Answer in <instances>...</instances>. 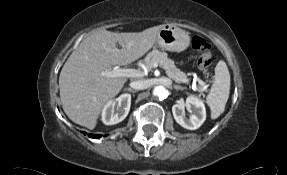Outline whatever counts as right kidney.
<instances>
[{"label":"right kidney","mask_w":287,"mask_h":175,"mask_svg":"<svg viewBox=\"0 0 287 175\" xmlns=\"http://www.w3.org/2000/svg\"><path fill=\"white\" fill-rule=\"evenodd\" d=\"M131 95L122 94L115 100H110L103 108L102 121L105 125H114L123 121L130 110Z\"/></svg>","instance_id":"1"}]
</instances>
